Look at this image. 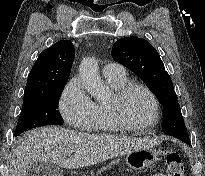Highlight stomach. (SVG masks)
I'll return each instance as SVG.
<instances>
[{
  "label": "stomach",
  "mask_w": 205,
  "mask_h": 176,
  "mask_svg": "<svg viewBox=\"0 0 205 176\" xmlns=\"http://www.w3.org/2000/svg\"><path fill=\"white\" fill-rule=\"evenodd\" d=\"M159 151L151 148H143L126 155L127 166L134 170H142L159 159Z\"/></svg>",
  "instance_id": "obj_1"
}]
</instances>
